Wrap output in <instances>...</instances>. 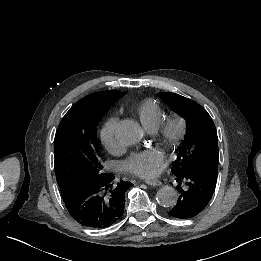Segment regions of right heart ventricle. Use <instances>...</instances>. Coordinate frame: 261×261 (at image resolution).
Here are the masks:
<instances>
[{
  "mask_svg": "<svg viewBox=\"0 0 261 261\" xmlns=\"http://www.w3.org/2000/svg\"><path fill=\"white\" fill-rule=\"evenodd\" d=\"M135 114L148 129L155 128L165 117L166 112L155 99H145L136 108Z\"/></svg>",
  "mask_w": 261,
  "mask_h": 261,
  "instance_id": "e07e8e85",
  "label": "right heart ventricle"
}]
</instances>
